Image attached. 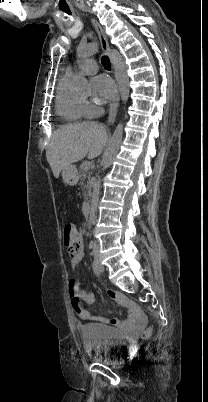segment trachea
Here are the masks:
<instances>
[{
    "mask_svg": "<svg viewBox=\"0 0 208 402\" xmlns=\"http://www.w3.org/2000/svg\"><path fill=\"white\" fill-rule=\"evenodd\" d=\"M101 62H102L103 67H104L106 70H111L110 61H109V58H108L106 55H104V56L101 58Z\"/></svg>",
    "mask_w": 208,
    "mask_h": 402,
    "instance_id": "3493384b",
    "label": "trachea"
}]
</instances>
